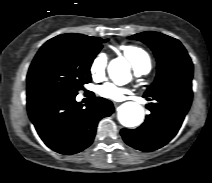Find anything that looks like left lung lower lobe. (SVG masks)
<instances>
[{
    "label": "left lung lower lobe",
    "instance_id": "obj_1",
    "mask_svg": "<svg viewBox=\"0 0 212 183\" xmlns=\"http://www.w3.org/2000/svg\"><path fill=\"white\" fill-rule=\"evenodd\" d=\"M192 84L167 86L144 97H152L155 103L145 122L136 129H122L124 141L131 147L150 152L166 145L180 129L192 102ZM149 100V98H147Z\"/></svg>",
    "mask_w": 212,
    "mask_h": 183
}]
</instances>
